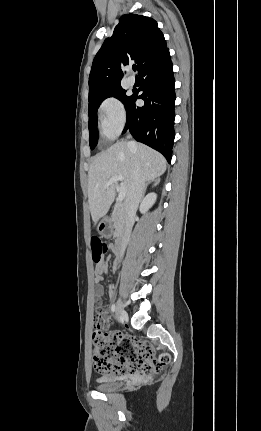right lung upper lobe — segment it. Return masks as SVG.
Masks as SVG:
<instances>
[{"mask_svg":"<svg viewBox=\"0 0 261 431\" xmlns=\"http://www.w3.org/2000/svg\"><path fill=\"white\" fill-rule=\"evenodd\" d=\"M167 48L157 22L143 15H123L112 37L97 52L90 76L89 96L120 85L122 66L134 61L138 72Z\"/></svg>","mask_w":261,"mask_h":431,"instance_id":"right-lung-upper-lobe-1","label":"right lung upper lobe"}]
</instances>
